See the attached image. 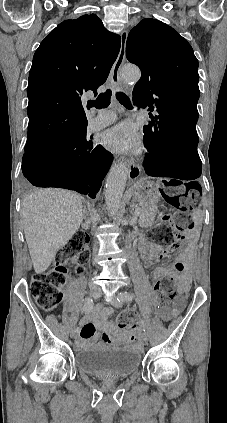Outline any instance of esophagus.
<instances>
[{
  "mask_svg": "<svg viewBox=\"0 0 227 423\" xmlns=\"http://www.w3.org/2000/svg\"><path fill=\"white\" fill-rule=\"evenodd\" d=\"M128 32L127 30H122L121 32V47L119 55L114 63L111 72H110V80L114 87L119 88L120 86V77L119 71L121 66L123 65L125 58H126V41H127ZM128 145L127 143L125 144ZM141 174V168L132 158L128 160V178L130 181L136 180Z\"/></svg>",
  "mask_w": 227,
  "mask_h": 423,
  "instance_id": "34e87169",
  "label": "esophagus"
}]
</instances>
